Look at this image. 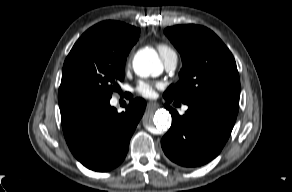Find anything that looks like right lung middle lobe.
<instances>
[{"mask_svg":"<svg viewBox=\"0 0 292 192\" xmlns=\"http://www.w3.org/2000/svg\"><path fill=\"white\" fill-rule=\"evenodd\" d=\"M128 53L112 50L96 30L88 29L65 60L59 95L82 93L110 99L124 79Z\"/></svg>","mask_w":292,"mask_h":192,"instance_id":"right-lung-middle-lobe-1","label":"right lung middle lobe"}]
</instances>
